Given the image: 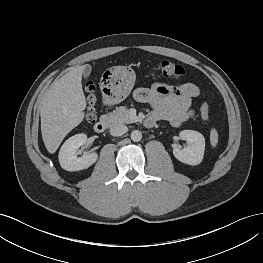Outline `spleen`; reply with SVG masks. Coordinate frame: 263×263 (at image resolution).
<instances>
[{"mask_svg":"<svg viewBox=\"0 0 263 263\" xmlns=\"http://www.w3.org/2000/svg\"><path fill=\"white\" fill-rule=\"evenodd\" d=\"M210 142H211L212 147H216L218 143V133L216 129L214 128H212L210 131Z\"/></svg>","mask_w":263,"mask_h":263,"instance_id":"1","label":"spleen"}]
</instances>
